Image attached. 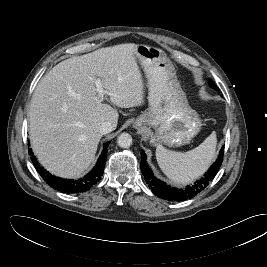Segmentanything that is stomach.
Instances as JSON below:
<instances>
[{
    "instance_id": "0dacf381",
    "label": "stomach",
    "mask_w": 267,
    "mask_h": 267,
    "mask_svg": "<svg viewBox=\"0 0 267 267\" xmlns=\"http://www.w3.org/2000/svg\"><path fill=\"white\" fill-rule=\"evenodd\" d=\"M135 56L147 80L149 108L133 126L138 130L153 127L150 143L154 146L179 147L189 143L202 124L189 106L177 80L175 66L165 52L156 47L137 45Z\"/></svg>"
}]
</instances>
